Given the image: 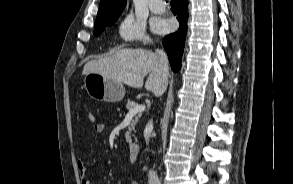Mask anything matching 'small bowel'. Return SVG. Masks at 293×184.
Returning <instances> with one entry per match:
<instances>
[{
  "label": "small bowel",
  "mask_w": 293,
  "mask_h": 184,
  "mask_svg": "<svg viewBox=\"0 0 293 184\" xmlns=\"http://www.w3.org/2000/svg\"><path fill=\"white\" fill-rule=\"evenodd\" d=\"M93 131L96 134H101L105 131V125L103 123H95L93 125ZM77 168L79 171V176L81 184H93V182L88 177V166L84 160L80 159L77 162ZM131 184H138L137 182H132Z\"/></svg>",
  "instance_id": "small-bowel-1"
}]
</instances>
